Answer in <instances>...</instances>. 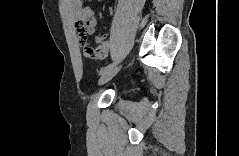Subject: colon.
<instances>
[{
  "label": "colon",
  "mask_w": 239,
  "mask_h": 156,
  "mask_svg": "<svg viewBox=\"0 0 239 156\" xmlns=\"http://www.w3.org/2000/svg\"><path fill=\"white\" fill-rule=\"evenodd\" d=\"M78 34L81 37L82 42L87 44L86 51L89 53L93 52V48L87 42V24L86 23H79L76 27Z\"/></svg>",
  "instance_id": "1"
}]
</instances>
